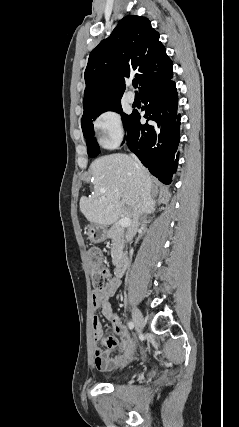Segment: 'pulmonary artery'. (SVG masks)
Segmentation results:
<instances>
[{"label":"pulmonary artery","instance_id":"1","mask_svg":"<svg viewBox=\"0 0 239 427\" xmlns=\"http://www.w3.org/2000/svg\"><path fill=\"white\" fill-rule=\"evenodd\" d=\"M126 99H127V101H128L129 103H133V102L135 101V95H134V93H133V92H131V91H129V92L126 94Z\"/></svg>","mask_w":239,"mask_h":427}]
</instances>
